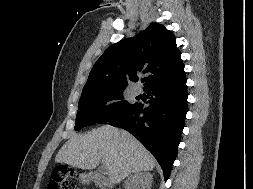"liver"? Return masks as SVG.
<instances>
[{
	"mask_svg": "<svg viewBox=\"0 0 253 189\" xmlns=\"http://www.w3.org/2000/svg\"><path fill=\"white\" fill-rule=\"evenodd\" d=\"M55 161L88 170L102 162L113 184L131 173L151 171L155 167L154 157L136 138L108 125L71 137Z\"/></svg>",
	"mask_w": 253,
	"mask_h": 189,
	"instance_id": "obj_1",
	"label": "liver"
}]
</instances>
